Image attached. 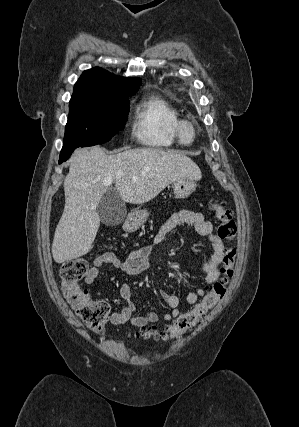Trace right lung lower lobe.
<instances>
[{
  "instance_id": "1",
  "label": "right lung lower lobe",
  "mask_w": 299,
  "mask_h": 427,
  "mask_svg": "<svg viewBox=\"0 0 299 427\" xmlns=\"http://www.w3.org/2000/svg\"><path fill=\"white\" fill-rule=\"evenodd\" d=\"M73 151L74 150H71V151L66 152V153H60L59 164L66 161L70 157V155L72 154Z\"/></svg>"
}]
</instances>
